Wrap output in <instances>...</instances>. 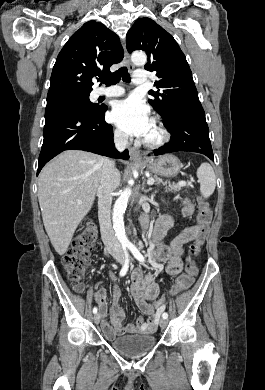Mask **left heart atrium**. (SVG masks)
I'll use <instances>...</instances> for the list:
<instances>
[{"instance_id": "39dd6f15", "label": "left heart atrium", "mask_w": 265, "mask_h": 390, "mask_svg": "<svg viewBox=\"0 0 265 390\" xmlns=\"http://www.w3.org/2000/svg\"><path fill=\"white\" fill-rule=\"evenodd\" d=\"M111 120L124 134L142 139L147 138L154 126L149 108L136 97L117 102Z\"/></svg>"}]
</instances>
